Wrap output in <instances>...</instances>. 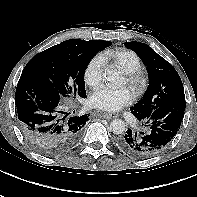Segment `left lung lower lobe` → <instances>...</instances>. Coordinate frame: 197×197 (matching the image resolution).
I'll use <instances>...</instances> for the list:
<instances>
[{"label": "left lung lower lobe", "instance_id": "1", "mask_svg": "<svg viewBox=\"0 0 197 197\" xmlns=\"http://www.w3.org/2000/svg\"><path fill=\"white\" fill-rule=\"evenodd\" d=\"M185 108V101H174L159 106L142 118L136 117L144 126L143 132L128 129L119 138V147L135 158H150L160 153L177 134Z\"/></svg>", "mask_w": 197, "mask_h": 197}]
</instances>
